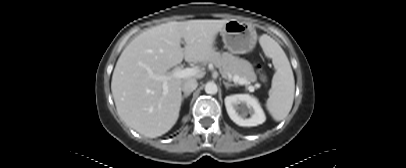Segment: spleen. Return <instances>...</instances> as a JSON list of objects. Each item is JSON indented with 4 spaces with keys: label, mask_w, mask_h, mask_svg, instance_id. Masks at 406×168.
I'll use <instances>...</instances> for the list:
<instances>
[{
    "label": "spleen",
    "mask_w": 406,
    "mask_h": 168,
    "mask_svg": "<svg viewBox=\"0 0 406 168\" xmlns=\"http://www.w3.org/2000/svg\"><path fill=\"white\" fill-rule=\"evenodd\" d=\"M260 44L276 68L266 108L275 121H281L289 114L293 105L295 93L293 71L285 52L275 40L263 35L260 38Z\"/></svg>",
    "instance_id": "obj_1"
}]
</instances>
